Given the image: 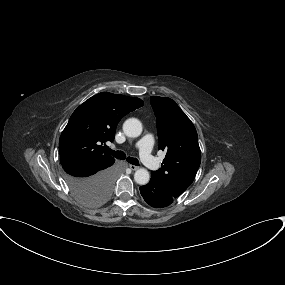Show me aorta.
Returning <instances> with one entry per match:
<instances>
[{"label": "aorta", "mask_w": 285, "mask_h": 285, "mask_svg": "<svg viewBox=\"0 0 285 285\" xmlns=\"http://www.w3.org/2000/svg\"><path fill=\"white\" fill-rule=\"evenodd\" d=\"M123 131L128 137H138L142 133V124L136 118H129L123 124ZM134 179L139 185H145L149 182L150 174L146 169L140 168L135 171Z\"/></svg>", "instance_id": "aorta-1"}]
</instances>
